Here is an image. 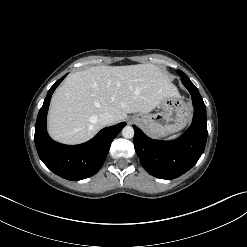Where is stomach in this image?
<instances>
[{"instance_id":"obj_1","label":"stomach","mask_w":247,"mask_h":247,"mask_svg":"<svg viewBox=\"0 0 247 247\" xmlns=\"http://www.w3.org/2000/svg\"><path fill=\"white\" fill-rule=\"evenodd\" d=\"M158 109L161 111L133 117V120L153 137H165L182 130L191 117L190 107L180 96L164 97Z\"/></svg>"}]
</instances>
